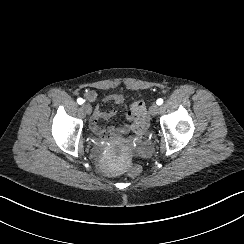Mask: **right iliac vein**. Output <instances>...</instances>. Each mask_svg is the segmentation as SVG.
<instances>
[{
	"instance_id": "right-iliac-vein-1",
	"label": "right iliac vein",
	"mask_w": 244,
	"mask_h": 244,
	"mask_svg": "<svg viewBox=\"0 0 244 244\" xmlns=\"http://www.w3.org/2000/svg\"><path fill=\"white\" fill-rule=\"evenodd\" d=\"M82 110H83L86 114H91V112H92V107H91L89 104L85 103V104L82 105Z\"/></svg>"
}]
</instances>
